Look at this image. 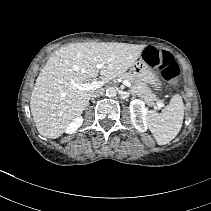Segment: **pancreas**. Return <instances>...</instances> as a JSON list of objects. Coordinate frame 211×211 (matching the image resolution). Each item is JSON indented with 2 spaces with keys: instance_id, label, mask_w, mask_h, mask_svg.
<instances>
[{
  "instance_id": "1",
  "label": "pancreas",
  "mask_w": 211,
  "mask_h": 211,
  "mask_svg": "<svg viewBox=\"0 0 211 211\" xmlns=\"http://www.w3.org/2000/svg\"><path fill=\"white\" fill-rule=\"evenodd\" d=\"M118 78L121 80H127L130 83H132L130 92L133 95H136L137 97L143 99L146 103L151 104L157 100L156 95L151 91V89L147 86V84L138 80L134 76V74L130 72L123 73L119 75Z\"/></svg>"
}]
</instances>
